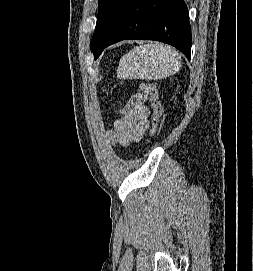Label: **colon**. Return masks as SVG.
<instances>
[{
    "instance_id": "obj_1",
    "label": "colon",
    "mask_w": 253,
    "mask_h": 271,
    "mask_svg": "<svg viewBox=\"0 0 253 271\" xmlns=\"http://www.w3.org/2000/svg\"><path fill=\"white\" fill-rule=\"evenodd\" d=\"M140 95L149 99L151 103L153 115L149 136L155 137L160 132L162 125V108L155 86L152 83H143L140 87Z\"/></svg>"
}]
</instances>
